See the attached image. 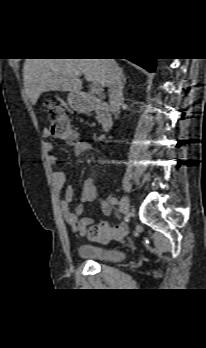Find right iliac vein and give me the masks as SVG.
<instances>
[{"instance_id": "63e3f726", "label": "right iliac vein", "mask_w": 206, "mask_h": 348, "mask_svg": "<svg viewBox=\"0 0 206 348\" xmlns=\"http://www.w3.org/2000/svg\"><path fill=\"white\" fill-rule=\"evenodd\" d=\"M129 205H130V201H129V197L124 195L120 201L119 204V210L122 214H125L128 212L129 210Z\"/></svg>"}]
</instances>
